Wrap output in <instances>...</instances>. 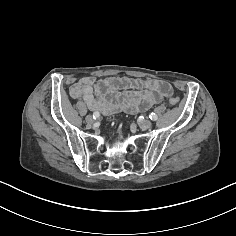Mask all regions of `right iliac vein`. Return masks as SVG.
<instances>
[{
    "mask_svg": "<svg viewBox=\"0 0 236 236\" xmlns=\"http://www.w3.org/2000/svg\"><path fill=\"white\" fill-rule=\"evenodd\" d=\"M85 121H86V123H88V124H92V123L94 122V119H93V117H92L91 115H87V116L85 117Z\"/></svg>",
    "mask_w": 236,
    "mask_h": 236,
    "instance_id": "1",
    "label": "right iliac vein"
}]
</instances>
